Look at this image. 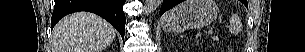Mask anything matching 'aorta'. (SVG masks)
Returning <instances> with one entry per match:
<instances>
[{
	"mask_svg": "<svg viewBox=\"0 0 305 52\" xmlns=\"http://www.w3.org/2000/svg\"><path fill=\"white\" fill-rule=\"evenodd\" d=\"M162 3V0H145L144 10L148 15L154 12Z\"/></svg>",
	"mask_w": 305,
	"mask_h": 52,
	"instance_id": "1",
	"label": "aorta"
}]
</instances>
